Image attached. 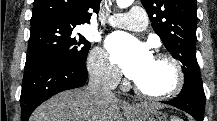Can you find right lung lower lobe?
<instances>
[{
    "instance_id": "1",
    "label": "right lung lower lobe",
    "mask_w": 217,
    "mask_h": 121,
    "mask_svg": "<svg viewBox=\"0 0 217 121\" xmlns=\"http://www.w3.org/2000/svg\"><path fill=\"white\" fill-rule=\"evenodd\" d=\"M88 77L87 69L67 62H41L25 66L20 97L21 120L45 100L64 90L81 87Z\"/></svg>"
}]
</instances>
